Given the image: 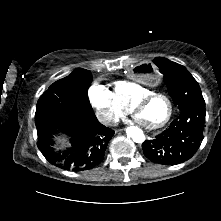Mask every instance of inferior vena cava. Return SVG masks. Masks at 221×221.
I'll use <instances>...</instances> for the list:
<instances>
[{"label": "inferior vena cava", "instance_id": "1", "mask_svg": "<svg viewBox=\"0 0 221 221\" xmlns=\"http://www.w3.org/2000/svg\"><path fill=\"white\" fill-rule=\"evenodd\" d=\"M99 120L106 125H116L117 120L112 115H104Z\"/></svg>", "mask_w": 221, "mask_h": 221}]
</instances>
